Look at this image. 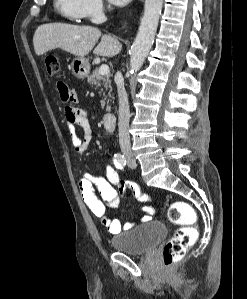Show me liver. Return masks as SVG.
I'll list each match as a JSON object with an SVG mask.
<instances>
[{
    "label": "liver",
    "instance_id": "obj_1",
    "mask_svg": "<svg viewBox=\"0 0 247 299\" xmlns=\"http://www.w3.org/2000/svg\"><path fill=\"white\" fill-rule=\"evenodd\" d=\"M101 31L87 25L48 23L40 25L33 36L36 55L60 48L78 57L86 56L101 37ZM122 49L121 43L110 35H102L93 53L102 57H114Z\"/></svg>",
    "mask_w": 247,
    "mask_h": 299
}]
</instances>
